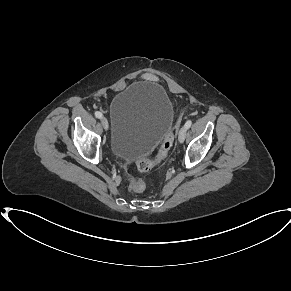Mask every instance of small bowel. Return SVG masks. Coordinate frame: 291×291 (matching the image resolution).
I'll return each instance as SVG.
<instances>
[{"instance_id":"small-bowel-1","label":"small bowel","mask_w":291,"mask_h":291,"mask_svg":"<svg viewBox=\"0 0 291 291\" xmlns=\"http://www.w3.org/2000/svg\"><path fill=\"white\" fill-rule=\"evenodd\" d=\"M143 77L147 80L155 81L157 80L156 76L152 73H145Z\"/></svg>"}]
</instances>
